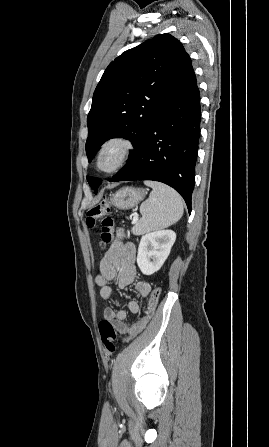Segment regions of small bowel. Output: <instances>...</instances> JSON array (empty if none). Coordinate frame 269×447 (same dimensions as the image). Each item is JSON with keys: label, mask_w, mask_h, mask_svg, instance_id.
<instances>
[{"label": "small bowel", "mask_w": 269, "mask_h": 447, "mask_svg": "<svg viewBox=\"0 0 269 447\" xmlns=\"http://www.w3.org/2000/svg\"><path fill=\"white\" fill-rule=\"evenodd\" d=\"M123 230L117 233V240L112 244L109 250L104 255L100 262L99 273L96 276V283L100 286V296L105 300H109L113 296V289L110 286L111 282H115L117 287L124 289L130 284L134 283L135 291L142 297H147L150 294L151 286L144 280H135L136 268V250L132 243H124ZM128 311L137 313L139 304L136 300H129L127 303ZM105 319L113 321V328L119 332H126L127 326L124 320L127 317L126 310H113L106 308L103 311Z\"/></svg>", "instance_id": "1"}]
</instances>
